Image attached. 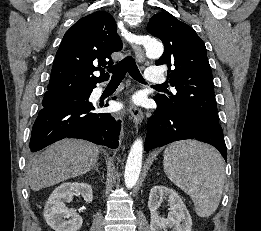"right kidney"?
<instances>
[{"mask_svg": "<svg viewBox=\"0 0 261 231\" xmlns=\"http://www.w3.org/2000/svg\"><path fill=\"white\" fill-rule=\"evenodd\" d=\"M74 195H81L86 203L93 200L91 186L83 182L63 183L48 198L44 208V218L54 231H78L81 228L82 217L65 205L72 201Z\"/></svg>", "mask_w": 261, "mask_h": 231, "instance_id": "ca27d5eb", "label": "right kidney"}]
</instances>
